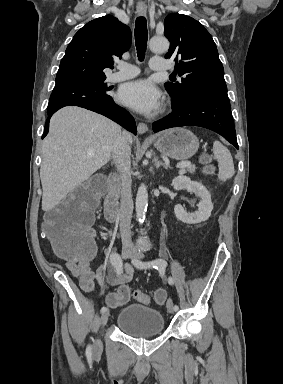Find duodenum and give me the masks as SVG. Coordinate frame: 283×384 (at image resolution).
I'll list each match as a JSON object with an SVG mask.
<instances>
[{
    "label": "duodenum",
    "instance_id": "1",
    "mask_svg": "<svg viewBox=\"0 0 283 384\" xmlns=\"http://www.w3.org/2000/svg\"><path fill=\"white\" fill-rule=\"evenodd\" d=\"M121 178L117 173H111L108 178V191L105 198L104 213L106 219L114 223L118 215V197Z\"/></svg>",
    "mask_w": 283,
    "mask_h": 384
}]
</instances>
